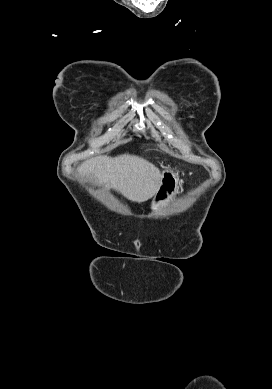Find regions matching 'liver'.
I'll list each match as a JSON object with an SVG mask.
<instances>
[{
	"label": "liver",
	"instance_id": "6515ba94",
	"mask_svg": "<svg viewBox=\"0 0 272 389\" xmlns=\"http://www.w3.org/2000/svg\"><path fill=\"white\" fill-rule=\"evenodd\" d=\"M78 173L89 177L97 185L106 184L138 203L156 194L162 177L155 165L142 157L129 154L88 159L78 167Z\"/></svg>",
	"mask_w": 272,
	"mask_h": 389
}]
</instances>
